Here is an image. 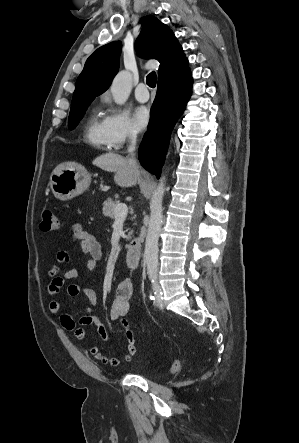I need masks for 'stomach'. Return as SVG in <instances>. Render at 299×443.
Masks as SVG:
<instances>
[{
	"instance_id": "obj_1",
	"label": "stomach",
	"mask_w": 299,
	"mask_h": 443,
	"mask_svg": "<svg viewBox=\"0 0 299 443\" xmlns=\"http://www.w3.org/2000/svg\"><path fill=\"white\" fill-rule=\"evenodd\" d=\"M91 183V175L80 164L65 163L54 169L50 176V188L54 196L70 200L83 193Z\"/></svg>"
}]
</instances>
